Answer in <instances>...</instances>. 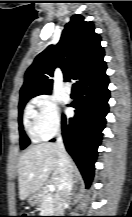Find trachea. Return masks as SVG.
<instances>
[{
	"mask_svg": "<svg viewBox=\"0 0 132 217\" xmlns=\"http://www.w3.org/2000/svg\"><path fill=\"white\" fill-rule=\"evenodd\" d=\"M73 89H77V84H73Z\"/></svg>",
	"mask_w": 132,
	"mask_h": 217,
	"instance_id": "trachea-1",
	"label": "trachea"
}]
</instances>
